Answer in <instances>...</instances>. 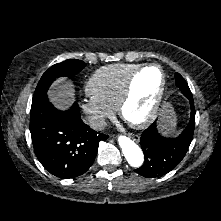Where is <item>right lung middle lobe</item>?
<instances>
[{
  "instance_id": "obj_1",
  "label": "right lung middle lobe",
  "mask_w": 221,
  "mask_h": 221,
  "mask_svg": "<svg viewBox=\"0 0 221 221\" xmlns=\"http://www.w3.org/2000/svg\"><path fill=\"white\" fill-rule=\"evenodd\" d=\"M86 64L83 61L76 59H68L61 63L51 66L41 77L32 100V105L38 103L42 97L47 95V90L53 81L61 76L72 77L80 72Z\"/></svg>"
}]
</instances>
